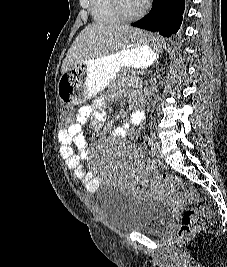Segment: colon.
Instances as JSON below:
<instances>
[{"label": "colon", "mask_w": 227, "mask_h": 267, "mask_svg": "<svg viewBox=\"0 0 227 267\" xmlns=\"http://www.w3.org/2000/svg\"><path fill=\"white\" fill-rule=\"evenodd\" d=\"M63 119H75V111L65 108L61 111ZM61 125H72V120H61ZM161 184L171 193L175 194L183 203L198 201L199 197L192 187L184 180L171 175L163 174ZM215 222L213 211L205 206L199 205L188 208L181 216L177 238L184 242L197 233L210 229Z\"/></svg>", "instance_id": "5ec220e1"}]
</instances>
